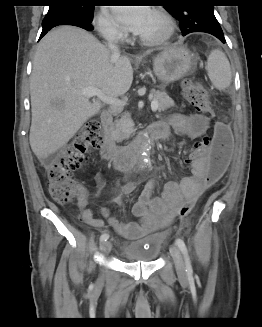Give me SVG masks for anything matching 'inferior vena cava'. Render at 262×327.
<instances>
[{
    "mask_svg": "<svg viewBox=\"0 0 262 327\" xmlns=\"http://www.w3.org/2000/svg\"><path fill=\"white\" fill-rule=\"evenodd\" d=\"M107 46L113 57H119L120 51L115 38V33L110 31L106 34Z\"/></svg>",
    "mask_w": 262,
    "mask_h": 327,
    "instance_id": "1",
    "label": "inferior vena cava"
}]
</instances>
